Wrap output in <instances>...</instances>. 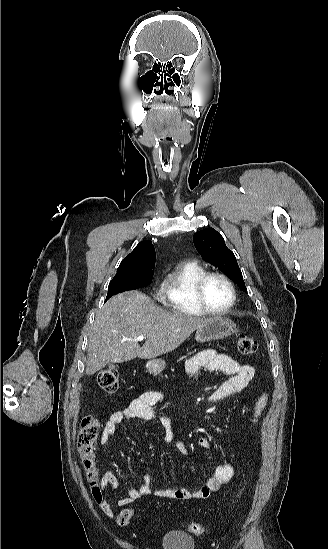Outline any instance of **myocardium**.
<instances>
[{"label": "myocardium", "instance_id": "1", "mask_svg": "<svg viewBox=\"0 0 328 549\" xmlns=\"http://www.w3.org/2000/svg\"><path fill=\"white\" fill-rule=\"evenodd\" d=\"M213 277H218L224 280L231 290V301L228 304L226 308L220 311H213L210 309L205 308L203 305H206V299H205V286L208 280H210ZM194 297L196 300V305L193 306L194 310L204 316H210L213 318H222L227 315H229L232 310L234 309L237 301V289L235 286L234 281L224 272L220 270H208L204 272L196 281L195 287H194Z\"/></svg>", "mask_w": 328, "mask_h": 549}]
</instances>
